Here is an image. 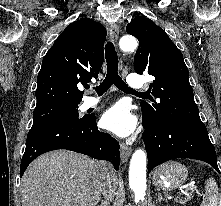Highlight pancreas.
Listing matches in <instances>:
<instances>
[{
	"mask_svg": "<svg viewBox=\"0 0 221 206\" xmlns=\"http://www.w3.org/2000/svg\"><path fill=\"white\" fill-rule=\"evenodd\" d=\"M192 198H193L192 195H189V194L185 193V194H184V197H182V198H176V200H177L179 203L184 204V203L190 201Z\"/></svg>",
	"mask_w": 221,
	"mask_h": 206,
	"instance_id": "1",
	"label": "pancreas"
}]
</instances>
